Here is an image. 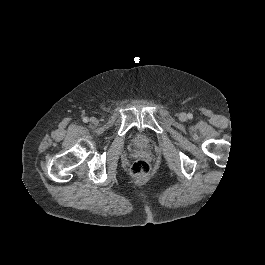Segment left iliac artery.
Masks as SVG:
<instances>
[{
  "label": "left iliac artery",
  "instance_id": "obj_1",
  "mask_svg": "<svg viewBox=\"0 0 265 265\" xmlns=\"http://www.w3.org/2000/svg\"><path fill=\"white\" fill-rule=\"evenodd\" d=\"M187 117H188V119H192L193 115L191 113H188Z\"/></svg>",
  "mask_w": 265,
  "mask_h": 265
}]
</instances>
